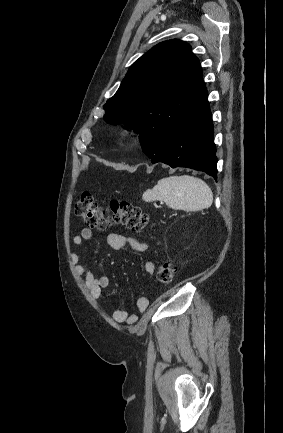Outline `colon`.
<instances>
[{
    "label": "colon",
    "mask_w": 283,
    "mask_h": 433,
    "mask_svg": "<svg viewBox=\"0 0 283 433\" xmlns=\"http://www.w3.org/2000/svg\"><path fill=\"white\" fill-rule=\"evenodd\" d=\"M75 214L85 225L99 230L120 224L136 233H143L149 226V217L140 207L125 200H112L103 208L89 192H84L77 201ZM176 272L172 262H165L158 269L157 281L167 285L172 282Z\"/></svg>",
    "instance_id": "1"
}]
</instances>
